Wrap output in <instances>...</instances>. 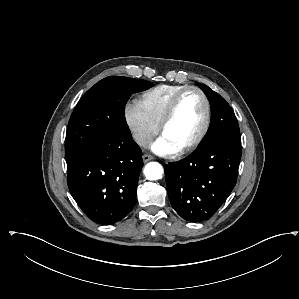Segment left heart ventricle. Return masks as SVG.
<instances>
[{
    "instance_id": "left-heart-ventricle-1",
    "label": "left heart ventricle",
    "mask_w": 299,
    "mask_h": 299,
    "mask_svg": "<svg viewBox=\"0 0 299 299\" xmlns=\"http://www.w3.org/2000/svg\"><path fill=\"white\" fill-rule=\"evenodd\" d=\"M204 119V103L196 92L185 94L177 107L171 122L164 129L166 137L178 148L185 146L198 133Z\"/></svg>"
}]
</instances>
